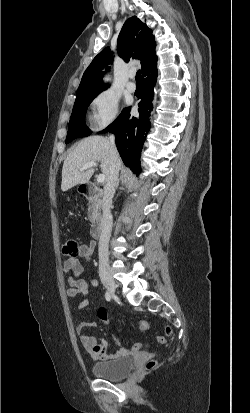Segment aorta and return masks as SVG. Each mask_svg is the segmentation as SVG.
Listing matches in <instances>:
<instances>
[{
    "label": "aorta",
    "mask_w": 250,
    "mask_h": 413,
    "mask_svg": "<svg viewBox=\"0 0 250 413\" xmlns=\"http://www.w3.org/2000/svg\"><path fill=\"white\" fill-rule=\"evenodd\" d=\"M109 80H110V77H109L108 75H106V76L104 77V81L107 82V81H109Z\"/></svg>",
    "instance_id": "1"
}]
</instances>
